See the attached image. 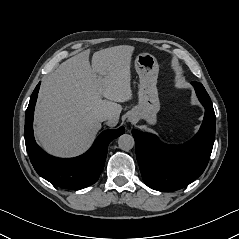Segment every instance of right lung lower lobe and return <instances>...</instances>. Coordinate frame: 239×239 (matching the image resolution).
<instances>
[{
    "mask_svg": "<svg viewBox=\"0 0 239 239\" xmlns=\"http://www.w3.org/2000/svg\"><path fill=\"white\" fill-rule=\"evenodd\" d=\"M40 83L33 91L25 114L24 137L30 161L36 172L50 183L64 189H79L94 184L105 164L109 143L125 132L124 127L103 131L91 149L75 158H56L44 152L35 142L33 115Z\"/></svg>",
    "mask_w": 239,
    "mask_h": 239,
    "instance_id": "obj_1",
    "label": "right lung lower lobe"
}]
</instances>
